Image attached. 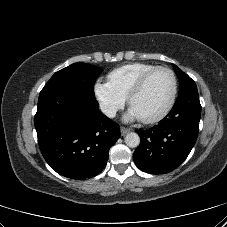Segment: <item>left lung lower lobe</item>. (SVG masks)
<instances>
[{"mask_svg":"<svg viewBox=\"0 0 227 227\" xmlns=\"http://www.w3.org/2000/svg\"><path fill=\"white\" fill-rule=\"evenodd\" d=\"M201 105L197 90L180 95L168 115L148 130L136 131L141 139L133 158L151 174L176 169L189 155L199 131Z\"/></svg>","mask_w":227,"mask_h":227,"instance_id":"0a47b994","label":"left lung lower lobe"}]
</instances>
